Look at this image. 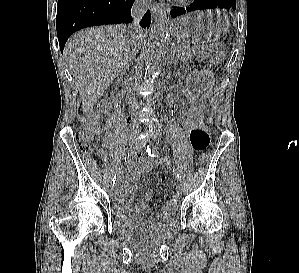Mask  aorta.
<instances>
[{"instance_id": "aorta-1", "label": "aorta", "mask_w": 299, "mask_h": 273, "mask_svg": "<svg viewBox=\"0 0 299 273\" xmlns=\"http://www.w3.org/2000/svg\"><path fill=\"white\" fill-rule=\"evenodd\" d=\"M168 17L165 11L160 13V19L157 20L149 35V41L144 52V61L146 65L145 79L153 80L159 73L160 66L166 51V42L168 37ZM156 120H151L147 124L149 132L155 130Z\"/></svg>"}]
</instances>
